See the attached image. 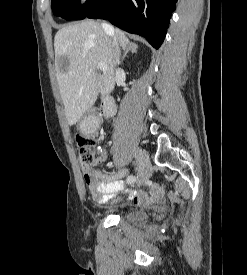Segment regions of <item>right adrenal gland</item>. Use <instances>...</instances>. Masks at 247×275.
Masks as SVG:
<instances>
[{
  "label": "right adrenal gland",
  "instance_id": "2a0ac1e0",
  "mask_svg": "<svg viewBox=\"0 0 247 275\" xmlns=\"http://www.w3.org/2000/svg\"><path fill=\"white\" fill-rule=\"evenodd\" d=\"M138 46L135 43H129L128 47L126 48V51L122 57V61L126 58L127 54L130 52L132 54L137 53Z\"/></svg>",
  "mask_w": 247,
  "mask_h": 275
}]
</instances>
